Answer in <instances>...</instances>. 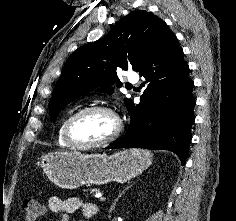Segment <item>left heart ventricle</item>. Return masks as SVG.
Wrapping results in <instances>:
<instances>
[{
	"label": "left heart ventricle",
	"instance_id": "left-heart-ventricle-1",
	"mask_svg": "<svg viewBox=\"0 0 236 221\" xmlns=\"http://www.w3.org/2000/svg\"><path fill=\"white\" fill-rule=\"evenodd\" d=\"M115 130L113 118L104 112L86 114L75 121L71 129L73 140L91 144L109 138Z\"/></svg>",
	"mask_w": 236,
	"mask_h": 221
}]
</instances>
